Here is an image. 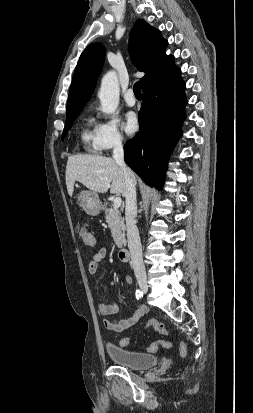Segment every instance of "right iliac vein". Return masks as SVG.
<instances>
[{
  "label": "right iliac vein",
  "mask_w": 253,
  "mask_h": 413,
  "mask_svg": "<svg viewBox=\"0 0 253 413\" xmlns=\"http://www.w3.org/2000/svg\"><path fill=\"white\" fill-rule=\"evenodd\" d=\"M138 284H139L140 289H141L144 293H147V291H148L147 281L144 280V279H139Z\"/></svg>",
  "instance_id": "right-iliac-vein-1"
}]
</instances>
